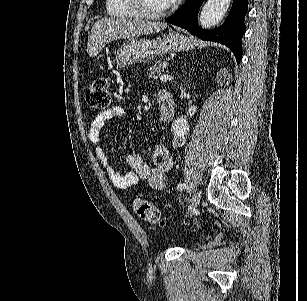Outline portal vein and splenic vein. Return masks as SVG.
<instances>
[{
  "instance_id": "portal-vein-and-splenic-vein-1",
  "label": "portal vein and splenic vein",
  "mask_w": 307,
  "mask_h": 301,
  "mask_svg": "<svg viewBox=\"0 0 307 301\" xmlns=\"http://www.w3.org/2000/svg\"><path fill=\"white\" fill-rule=\"evenodd\" d=\"M171 80L172 76H168V74H162V76H160V80Z\"/></svg>"
}]
</instances>
